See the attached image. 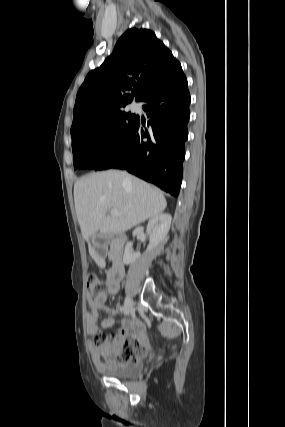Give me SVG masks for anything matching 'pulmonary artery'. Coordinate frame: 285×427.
I'll list each match as a JSON object with an SVG mask.
<instances>
[{
    "label": "pulmonary artery",
    "instance_id": "obj_1",
    "mask_svg": "<svg viewBox=\"0 0 285 427\" xmlns=\"http://www.w3.org/2000/svg\"><path fill=\"white\" fill-rule=\"evenodd\" d=\"M130 109H131L132 111H135V110H137V109H138V106H137L136 104H132V105H131V107H130Z\"/></svg>",
    "mask_w": 285,
    "mask_h": 427
}]
</instances>
